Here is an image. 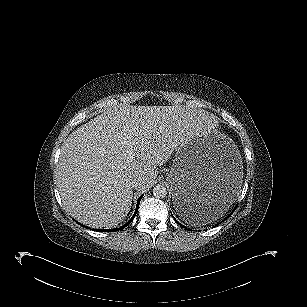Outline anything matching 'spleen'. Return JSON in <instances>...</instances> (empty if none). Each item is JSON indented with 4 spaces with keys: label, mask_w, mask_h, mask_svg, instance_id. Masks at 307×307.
Listing matches in <instances>:
<instances>
[{
    "label": "spleen",
    "mask_w": 307,
    "mask_h": 307,
    "mask_svg": "<svg viewBox=\"0 0 307 307\" xmlns=\"http://www.w3.org/2000/svg\"><path fill=\"white\" fill-rule=\"evenodd\" d=\"M227 209H216L214 211H203L197 215L192 216L190 220H185L191 225L208 224L219 219L226 212Z\"/></svg>",
    "instance_id": "spleen-1"
}]
</instances>
